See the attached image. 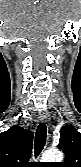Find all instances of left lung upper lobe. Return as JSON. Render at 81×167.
Segmentation results:
<instances>
[{
    "mask_svg": "<svg viewBox=\"0 0 81 167\" xmlns=\"http://www.w3.org/2000/svg\"><path fill=\"white\" fill-rule=\"evenodd\" d=\"M58 147L65 153V162L59 167H81V133L70 125L60 131Z\"/></svg>",
    "mask_w": 81,
    "mask_h": 167,
    "instance_id": "left-lung-upper-lobe-1",
    "label": "left lung upper lobe"
}]
</instances>
